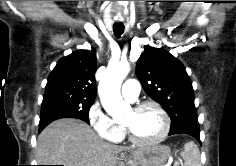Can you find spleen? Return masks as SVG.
Wrapping results in <instances>:
<instances>
[{
  "label": "spleen",
  "mask_w": 236,
  "mask_h": 166,
  "mask_svg": "<svg viewBox=\"0 0 236 166\" xmlns=\"http://www.w3.org/2000/svg\"><path fill=\"white\" fill-rule=\"evenodd\" d=\"M181 156L184 160V166H202L200 161V151L193 141L184 144V150L181 153Z\"/></svg>",
  "instance_id": "1"
}]
</instances>
